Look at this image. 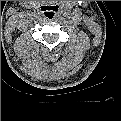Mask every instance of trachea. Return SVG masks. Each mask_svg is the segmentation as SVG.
Returning <instances> with one entry per match:
<instances>
[{"instance_id":"1","label":"trachea","mask_w":121,"mask_h":121,"mask_svg":"<svg viewBox=\"0 0 121 121\" xmlns=\"http://www.w3.org/2000/svg\"><path fill=\"white\" fill-rule=\"evenodd\" d=\"M56 14V10L53 8H48L47 11L45 12V16L48 19H53L55 17Z\"/></svg>"}]
</instances>
